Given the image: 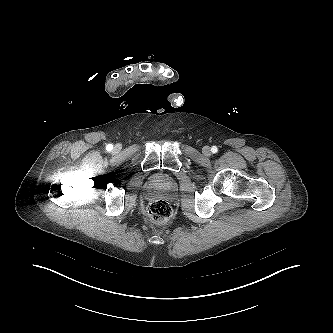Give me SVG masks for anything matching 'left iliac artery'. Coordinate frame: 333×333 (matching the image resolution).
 <instances>
[{"label": "left iliac artery", "instance_id": "obj_1", "mask_svg": "<svg viewBox=\"0 0 333 333\" xmlns=\"http://www.w3.org/2000/svg\"><path fill=\"white\" fill-rule=\"evenodd\" d=\"M211 151H212V153H217L218 152V148L216 146H213L211 148Z\"/></svg>", "mask_w": 333, "mask_h": 333}]
</instances>
